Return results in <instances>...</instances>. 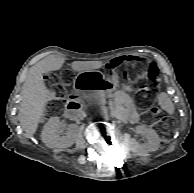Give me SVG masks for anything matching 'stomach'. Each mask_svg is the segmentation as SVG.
I'll list each match as a JSON object with an SVG mask.
<instances>
[{
    "instance_id": "0dacf381",
    "label": "stomach",
    "mask_w": 194,
    "mask_h": 193,
    "mask_svg": "<svg viewBox=\"0 0 194 193\" xmlns=\"http://www.w3.org/2000/svg\"><path fill=\"white\" fill-rule=\"evenodd\" d=\"M73 86L80 94H106L118 86V81L114 77H106L100 71L89 70L78 73Z\"/></svg>"
}]
</instances>
